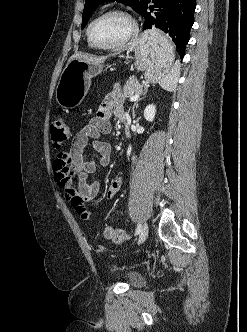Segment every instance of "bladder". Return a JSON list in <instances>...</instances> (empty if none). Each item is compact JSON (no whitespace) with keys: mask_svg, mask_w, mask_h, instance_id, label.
Segmentation results:
<instances>
[{"mask_svg":"<svg viewBox=\"0 0 247 332\" xmlns=\"http://www.w3.org/2000/svg\"><path fill=\"white\" fill-rule=\"evenodd\" d=\"M111 272L115 276H122L125 283H127L130 287H140L144 284V277L136 272V271H128L123 273L119 267L112 266Z\"/></svg>","mask_w":247,"mask_h":332,"instance_id":"bladder-1","label":"bladder"}]
</instances>
